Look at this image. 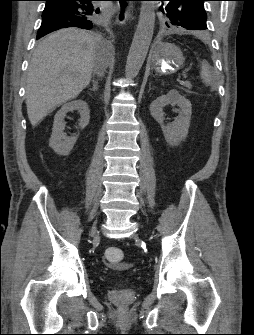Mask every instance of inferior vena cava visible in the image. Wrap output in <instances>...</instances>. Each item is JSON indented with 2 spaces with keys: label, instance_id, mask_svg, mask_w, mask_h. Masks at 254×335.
Returning a JSON list of instances; mask_svg holds the SVG:
<instances>
[{
  "label": "inferior vena cava",
  "instance_id": "602c4592",
  "mask_svg": "<svg viewBox=\"0 0 254 335\" xmlns=\"http://www.w3.org/2000/svg\"><path fill=\"white\" fill-rule=\"evenodd\" d=\"M98 38V37H97ZM104 62H98L95 69H94V73H97L99 75H103L104 74Z\"/></svg>",
  "mask_w": 254,
  "mask_h": 335
}]
</instances>
